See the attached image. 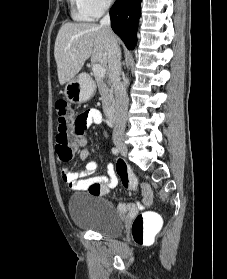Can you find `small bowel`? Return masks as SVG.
<instances>
[{
	"instance_id": "c3829d8e",
	"label": "small bowel",
	"mask_w": 227,
	"mask_h": 279,
	"mask_svg": "<svg viewBox=\"0 0 227 279\" xmlns=\"http://www.w3.org/2000/svg\"><path fill=\"white\" fill-rule=\"evenodd\" d=\"M86 114L87 118L84 127H88L92 124L98 125L103 123V117L99 110L89 109L86 112ZM102 137L104 139H107V132H103ZM75 142L77 146L81 147V151L79 152V159L81 161H87L90 152L86 148L88 141L83 133V130L75 134ZM98 168V161L90 160L87 162L86 166L81 171L72 172L69 171L67 168H62L61 176L63 181L72 190H87L89 189V185L91 183H98L102 188L99 192L101 194H106L110 190L116 188L119 181L127 189L138 190L141 195V199L138 201L136 205L125 203H119L117 205V209L122 213L135 214L140 209L149 207L152 204V191L150 187L146 184H141L138 186L136 177L134 176L132 171L128 170L126 174H119V180L115 171V167L112 163H109L107 165L108 176H96L95 174L98 171ZM108 202L110 205L114 204L112 200H109Z\"/></svg>"
}]
</instances>
